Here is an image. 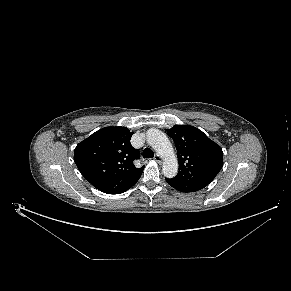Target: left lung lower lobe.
Segmentation results:
<instances>
[{"mask_svg": "<svg viewBox=\"0 0 291 291\" xmlns=\"http://www.w3.org/2000/svg\"><path fill=\"white\" fill-rule=\"evenodd\" d=\"M166 182L173 188L181 192H196L203 189L207 183H182L173 179H166Z\"/></svg>", "mask_w": 291, "mask_h": 291, "instance_id": "0a47b994", "label": "left lung lower lobe"}]
</instances>
